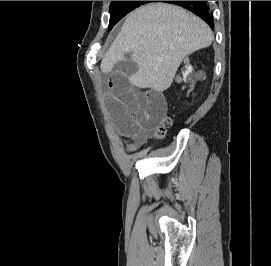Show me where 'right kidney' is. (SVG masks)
I'll list each match as a JSON object with an SVG mask.
<instances>
[{
  "instance_id": "ca27d5eb",
  "label": "right kidney",
  "mask_w": 271,
  "mask_h": 266,
  "mask_svg": "<svg viewBox=\"0 0 271 266\" xmlns=\"http://www.w3.org/2000/svg\"><path fill=\"white\" fill-rule=\"evenodd\" d=\"M192 66L191 65H186V71L183 72V78H184V81H192V76H191V73H192Z\"/></svg>"
}]
</instances>
